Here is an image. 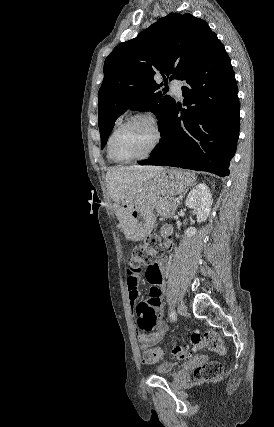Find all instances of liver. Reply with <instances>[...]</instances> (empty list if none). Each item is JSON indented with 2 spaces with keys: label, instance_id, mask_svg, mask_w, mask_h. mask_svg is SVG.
<instances>
[{
  "label": "liver",
  "instance_id": "liver-1",
  "mask_svg": "<svg viewBox=\"0 0 274 427\" xmlns=\"http://www.w3.org/2000/svg\"><path fill=\"white\" fill-rule=\"evenodd\" d=\"M161 166H118L110 168L106 174L107 190L112 202H130L136 194L141 180L153 178Z\"/></svg>",
  "mask_w": 274,
  "mask_h": 427
}]
</instances>
